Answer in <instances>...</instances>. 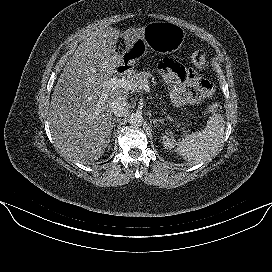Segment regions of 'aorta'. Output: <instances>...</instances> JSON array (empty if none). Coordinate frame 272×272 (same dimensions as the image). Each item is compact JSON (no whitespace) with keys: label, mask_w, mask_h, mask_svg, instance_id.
<instances>
[{"label":"aorta","mask_w":272,"mask_h":272,"mask_svg":"<svg viewBox=\"0 0 272 272\" xmlns=\"http://www.w3.org/2000/svg\"><path fill=\"white\" fill-rule=\"evenodd\" d=\"M129 124L134 127H139L143 124V116L140 113H134L129 117Z\"/></svg>","instance_id":"aorta-1"}]
</instances>
